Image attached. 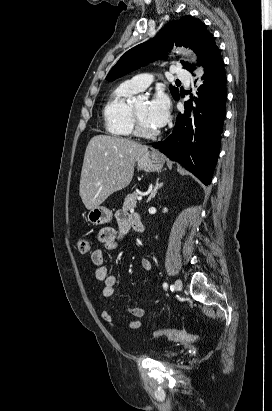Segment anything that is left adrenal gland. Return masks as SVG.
Segmentation results:
<instances>
[{"label":"left adrenal gland","mask_w":272,"mask_h":411,"mask_svg":"<svg viewBox=\"0 0 272 411\" xmlns=\"http://www.w3.org/2000/svg\"><path fill=\"white\" fill-rule=\"evenodd\" d=\"M162 185H163V182H159V178H157L156 184H155L153 190L151 191V193H150V195H149V197H148L147 202H149V201H151V199L155 198L158 190L162 187Z\"/></svg>","instance_id":"obj_1"}]
</instances>
